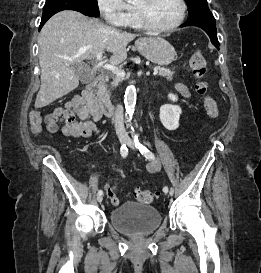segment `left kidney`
<instances>
[{"label":"left kidney","mask_w":261,"mask_h":273,"mask_svg":"<svg viewBox=\"0 0 261 273\" xmlns=\"http://www.w3.org/2000/svg\"><path fill=\"white\" fill-rule=\"evenodd\" d=\"M168 98L173 102L178 100L177 96L174 94H169ZM181 113H182V110L179 106L172 105V104H165V105H162L160 108L159 118L162 125L167 130L173 131L179 127V119H180Z\"/></svg>","instance_id":"left-kidney-1"}]
</instances>
